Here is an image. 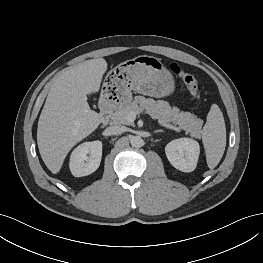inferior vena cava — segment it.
Instances as JSON below:
<instances>
[{
    "mask_svg": "<svg viewBox=\"0 0 263 263\" xmlns=\"http://www.w3.org/2000/svg\"><path fill=\"white\" fill-rule=\"evenodd\" d=\"M126 131V128L119 125L107 127L105 133L107 135H118Z\"/></svg>",
    "mask_w": 263,
    "mask_h": 263,
    "instance_id": "602c4592",
    "label": "inferior vena cava"
}]
</instances>
